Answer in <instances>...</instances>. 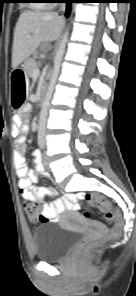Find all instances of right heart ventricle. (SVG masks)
<instances>
[{"instance_id": "e07e8e85", "label": "right heart ventricle", "mask_w": 136, "mask_h": 296, "mask_svg": "<svg viewBox=\"0 0 136 296\" xmlns=\"http://www.w3.org/2000/svg\"><path fill=\"white\" fill-rule=\"evenodd\" d=\"M31 6L34 8H47L50 6V3L45 0H34V2L31 3Z\"/></svg>"}]
</instances>
